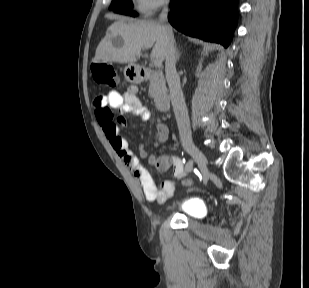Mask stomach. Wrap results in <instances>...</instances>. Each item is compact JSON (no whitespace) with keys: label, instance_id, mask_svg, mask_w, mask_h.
I'll return each instance as SVG.
<instances>
[{"label":"stomach","instance_id":"obj_1","mask_svg":"<svg viewBox=\"0 0 309 288\" xmlns=\"http://www.w3.org/2000/svg\"><path fill=\"white\" fill-rule=\"evenodd\" d=\"M125 79L130 83H140L142 78L140 74V67L134 63L128 64L124 69Z\"/></svg>","mask_w":309,"mask_h":288}]
</instances>
